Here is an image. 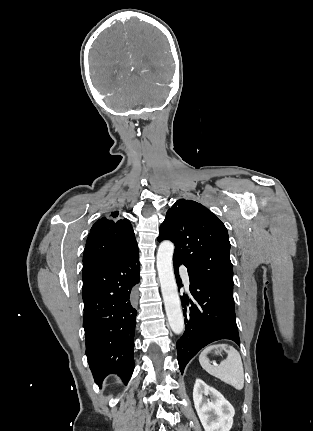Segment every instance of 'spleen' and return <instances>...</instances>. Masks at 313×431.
Wrapping results in <instances>:
<instances>
[{
	"label": "spleen",
	"mask_w": 313,
	"mask_h": 431,
	"mask_svg": "<svg viewBox=\"0 0 313 431\" xmlns=\"http://www.w3.org/2000/svg\"><path fill=\"white\" fill-rule=\"evenodd\" d=\"M224 350L227 358L221 361L220 365L214 367L210 364L207 354L213 350ZM199 362L202 368L210 375L220 379L226 384H230L237 390L244 387V370L239 352L228 344H216L205 348L200 356Z\"/></svg>",
	"instance_id": "spleen-1"
}]
</instances>
